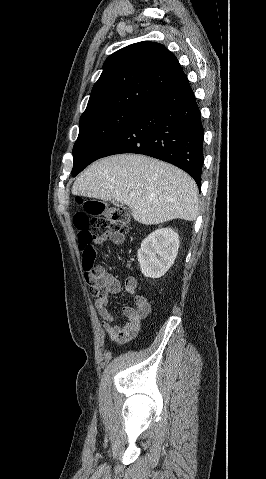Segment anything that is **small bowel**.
I'll return each instance as SVG.
<instances>
[{"mask_svg":"<svg viewBox=\"0 0 266 479\" xmlns=\"http://www.w3.org/2000/svg\"><path fill=\"white\" fill-rule=\"evenodd\" d=\"M124 237L115 235L111 232H104L100 235L93 236L91 245L112 241L114 243H122ZM94 246V245H93ZM96 281L98 294L95 295V307L102 319V326L111 342L123 344L132 340L140 329L142 319H144L150 311V304L147 299L137 292V280L130 276L125 282V291L133 298L134 306H125L123 322H115V317L110 309V296L117 295L122 292L120 281L107 272L102 265H97L92 272Z\"/></svg>","mask_w":266,"mask_h":479,"instance_id":"1","label":"small bowel"}]
</instances>
